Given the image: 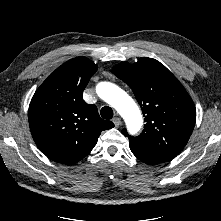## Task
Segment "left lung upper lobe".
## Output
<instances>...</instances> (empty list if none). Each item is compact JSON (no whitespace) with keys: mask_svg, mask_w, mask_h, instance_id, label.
I'll return each mask as SVG.
<instances>
[{"mask_svg":"<svg viewBox=\"0 0 221 221\" xmlns=\"http://www.w3.org/2000/svg\"><path fill=\"white\" fill-rule=\"evenodd\" d=\"M112 72L132 89L146 122L137 137L128 135L126 129L122 133L156 152L177 156L188 142L196 121V108L181 83L152 58L117 64Z\"/></svg>","mask_w":221,"mask_h":221,"instance_id":"obj_1","label":"left lung upper lobe"}]
</instances>
